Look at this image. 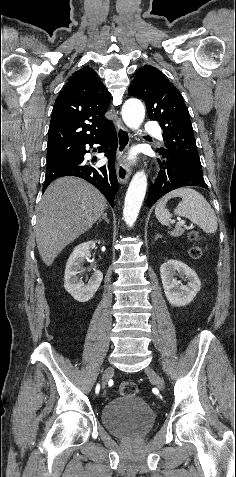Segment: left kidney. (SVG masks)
Here are the masks:
<instances>
[{
    "instance_id": "obj_1",
    "label": "left kidney",
    "mask_w": 236,
    "mask_h": 477,
    "mask_svg": "<svg viewBox=\"0 0 236 477\" xmlns=\"http://www.w3.org/2000/svg\"><path fill=\"white\" fill-rule=\"evenodd\" d=\"M176 274L185 276L188 280L187 285H182L181 281L175 278ZM160 275L165 296L173 306L189 304L200 291L201 282L196 272L183 262L168 260L161 265Z\"/></svg>"
}]
</instances>
